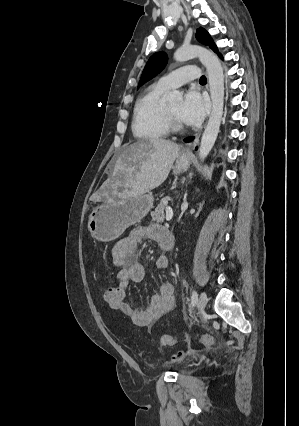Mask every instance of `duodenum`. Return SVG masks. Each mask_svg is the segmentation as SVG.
<instances>
[{"instance_id":"duodenum-1","label":"duodenum","mask_w":299,"mask_h":426,"mask_svg":"<svg viewBox=\"0 0 299 426\" xmlns=\"http://www.w3.org/2000/svg\"><path fill=\"white\" fill-rule=\"evenodd\" d=\"M160 245L164 250H171L173 248L174 237L169 230H167V229L163 230Z\"/></svg>"}]
</instances>
